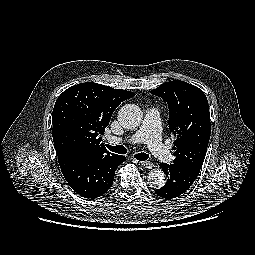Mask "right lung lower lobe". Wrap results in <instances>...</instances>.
I'll return each mask as SVG.
<instances>
[{"label":"right lung lower lobe","instance_id":"obj_1","mask_svg":"<svg viewBox=\"0 0 255 255\" xmlns=\"http://www.w3.org/2000/svg\"><path fill=\"white\" fill-rule=\"evenodd\" d=\"M126 160L121 155L103 158L71 157L58 159L69 186L84 198H97L111 187L116 168Z\"/></svg>","mask_w":255,"mask_h":255}]
</instances>
